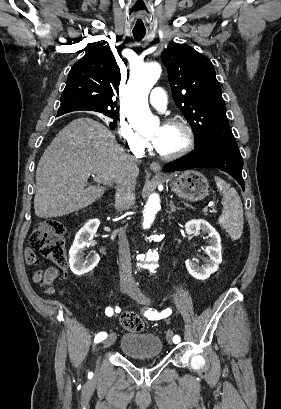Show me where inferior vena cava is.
<instances>
[{
    "instance_id": "602c4592",
    "label": "inferior vena cava",
    "mask_w": 281,
    "mask_h": 409,
    "mask_svg": "<svg viewBox=\"0 0 281 409\" xmlns=\"http://www.w3.org/2000/svg\"><path fill=\"white\" fill-rule=\"evenodd\" d=\"M136 160H138V158L132 156V158H129L128 162H136ZM135 184V176L123 178L122 182H118V186L116 188L117 196H119L121 200H129V198L135 194ZM118 239L120 279L121 281H130V283H134V279L132 277L129 243L127 241L125 229H119Z\"/></svg>"
}]
</instances>
